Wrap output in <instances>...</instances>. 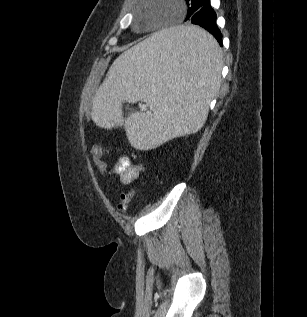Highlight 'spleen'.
Here are the masks:
<instances>
[{"instance_id":"spleen-1","label":"spleen","mask_w":307,"mask_h":317,"mask_svg":"<svg viewBox=\"0 0 307 317\" xmlns=\"http://www.w3.org/2000/svg\"><path fill=\"white\" fill-rule=\"evenodd\" d=\"M221 68L218 43L200 26L158 29L115 60L94 97L92 118L113 127L123 121L119 101L144 100L152 113L133 114L124 124L133 146L195 133L219 90Z\"/></svg>"}]
</instances>
